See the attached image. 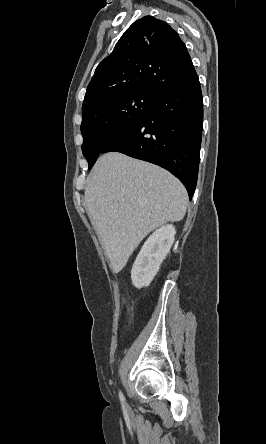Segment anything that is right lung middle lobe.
I'll return each instance as SVG.
<instances>
[{
    "mask_svg": "<svg viewBox=\"0 0 266 444\" xmlns=\"http://www.w3.org/2000/svg\"><path fill=\"white\" fill-rule=\"evenodd\" d=\"M157 95L126 91L105 97L82 111V152L92 168L105 146L151 111Z\"/></svg>",
    "mask_w": 266,
    "mask_h": 444,
    "instance_id": "right-lung-middle-lobe-1",
    "label": "right lung middle lobe"
}]
</instances>
